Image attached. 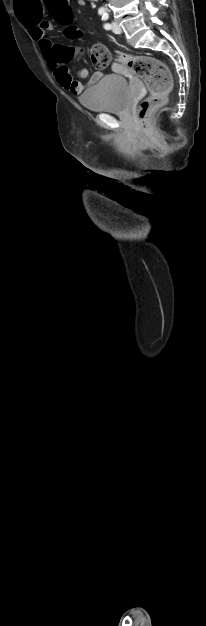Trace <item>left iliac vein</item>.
Returning a JSON list of instances; mask_svg holds the SVG:
<instances>
[{
    "instance_id": "1",
    "label": "left iliac vein",
    "mask_w": 206,
    "mask_h": 626,
    "mask_svg": "<svg viewBox=\"0 0 206 626\" xmlns=\"http://www.w3.org/2000/svg\"><path fill=\"white\" fill-rule=\"evenodd\" d=\"M112 31L115 34H120L122 32V29H121L120 25L117 22H115V21L112 22Z\"/></svg>"
}]
</instances>
